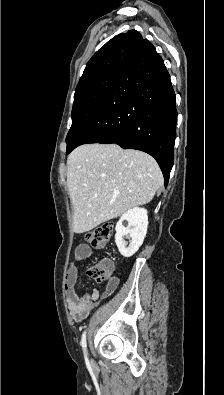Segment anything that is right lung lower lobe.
<instances>
[{"instance_id":"98d812e1","label":"right lung lower lobe","mask_w":224,"mask_h":395,"mask_svg":"<svg viewBox=\"0 0 224 395\" xmlns=\"http://www.w3.org/2000/svg\"><path fill=\"white\" fill-rule=\"evenodd\" d=\"M177 110L170 75L155 47L144 40L122 70L113 90L76 143H115L158 162L168 184L174 161Z\"/></svg>"}]
</instances>
